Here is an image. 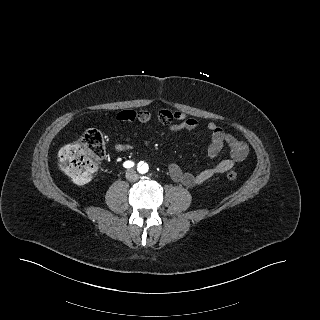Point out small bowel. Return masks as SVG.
Masks as SVG:
<instances>
[{
	"label": "small bowel",
	"instance_id": "obj_1",
	"mask_svg": "<svg viewBox=\"0 0 320 320\" xmlns=\"http://www.w3.org/2000/svg\"><path fill=\"white\" fill-rule=\"evenodd\" d=\"M152 116L146 110L135 111L126 109L116 114V121L119 123H131L138 121L140 123L150 122ZM157 119L167 126V130L176 133L182 130H195L199 127L196 119L187 117L184 113L176 110L163 109L157 114ZM207 129L210 133L211 142L207 149V156L210 159L216 158L225 146L230 150V158L224 159L215 166L193 173L183 170L177 163L171 161L168 164V173L170 177L185 187H194L203 184L216 175L224 174L238 162L243 161L248 154V146L239 140L231 132L225 131L215 123H209ZM117 152H125L131 149L128 144L118 143L114 146Z\"/></svg>",
	"mask_w": 320,
	"mask_h": 320
}]
</instances>
